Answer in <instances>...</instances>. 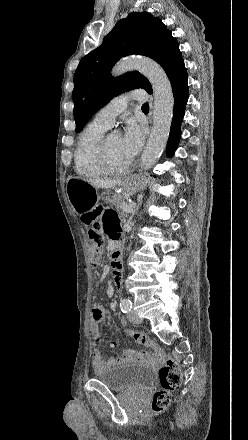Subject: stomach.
<instances>
[{
    "label": "stomach",
    "mask_w": 248,
    "mask_h": 440,
    "mask_svg": "<svg viewBox=\"0 0 248 440\" xmlns=\"http://www.w3.org/2000/svg\"><path fill=\"white\" fill-rule=\"evenodd\" d=\"M147 183L135 176L125 177L119 184L123 196L134 195L145 189ZM66 191L68 199L76 212H82L98 199L97 190L85 180L71 178L67 181Z\"/></svg>",
    "instance_id": "obj_1"
}]
</instances>
